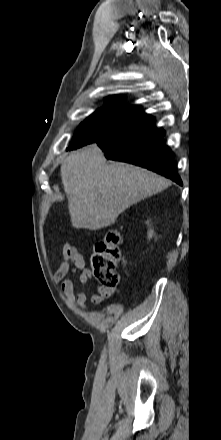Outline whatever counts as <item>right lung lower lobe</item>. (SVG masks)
Masks as SVG:
<instances>
[{"mask_svg": "<svg viewBox=\"0 0 221 440\" xmlns=\"http://www.w3.org/2000/svg\"><path fill=\"white\" fill-rule=\"evenodd\" d=\"M164 134L155 127L153 117L139 111L96 143L107 159L141 166L182 185L174 153L161 144Z\"/></svg>", "mask_w": 221, "mask_h": 440, "instance_id": "right-lung-lower-lobe-1", "label": "right lung lower lobe"}]
</instances>
